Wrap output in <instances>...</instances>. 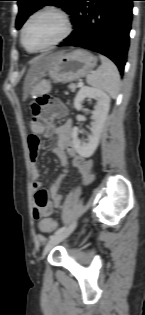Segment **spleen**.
I'll use <instances>...</instances> for the list:
<instances>
[{
  "mask_svg": "<svg viewBox=\"0 0 145 315\" xmlns=\"http://www.w3.org/2000/svg\"><path fill=\"white\" fill-rule=\"evenodd\" d=\"M101 66L87 76V83L92 87L105 91L116 98L120 91V75L116 65L107 57L100 55Z\"/></svg>",
  "mask_w": 145,
  "mask_h": 315,
  "instance_id": "obj_1",
  "label": "spleen"
}]
</instances>
